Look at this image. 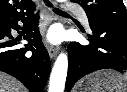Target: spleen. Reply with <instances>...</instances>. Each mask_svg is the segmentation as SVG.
I'll use <instances>...</instances> for the list:
<instances>
[{
  "instance_id": "1",
  "label": "spleen",
  "mask_w": 127,
  "mask_h": 92,
  "mask_svg": "<svg viewBox=\"0 0 127 92\" xmlns=\"http://www.w3.org/2000/svg\"><path fill=\"white\" fill-rule=\"evenodd\" d=\"M123 78L127 80V72L124 74Z\"/></svg>"
}]
</instances>
